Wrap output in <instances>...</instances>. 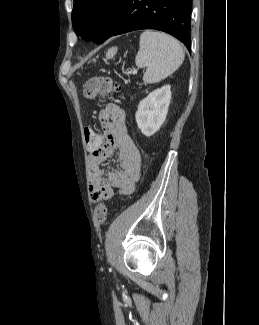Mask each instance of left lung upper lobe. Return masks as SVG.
Listing matches in <instances>:
<instances>
[{
  "label": "left lung upper lobe",
  "mask_w": 259,
  "mask_h": 325,
  "mask_svg": "<svg viewBox=\"0 0 259 325\" xmlns=\"http://www.w3.org/2000/svg\"><path fill=\"white\" fill-rule=\"evenodd\" d=\"M124 0H74L72 25L83 40L107 39Z\"/></svg>",
  "instance_id": "left-lung-upper-lobe-1"
}]
</instances>
